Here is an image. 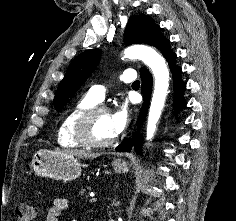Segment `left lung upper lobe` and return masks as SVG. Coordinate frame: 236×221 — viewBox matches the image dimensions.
Returning <instances> with one entry per match:
<instances>
[{"instance_id":"obj_1","label":"left lung upper lobe","mask_w":236,"mask_h":221,"mask_svg":"<svg viewBox=\"0 0 236 221\" xmlns=\"http://www.w3.org/2000/svg\"><path fill=\"white\" fill-rule=\"evenodd\" d=\"M162 36L160 27L144 14L130 17L124 33V44H149ZM99 49L87 50L79 54L69 65L64 79L57 88L54 107L62 111L67 100L73 96L96 68L100 60Z\"/></svg>"}]
</instances>
